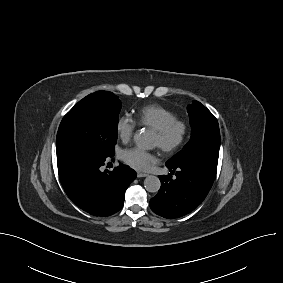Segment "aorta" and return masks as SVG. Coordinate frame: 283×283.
I'll use <instances>...</instances> for the list:
<instances>
[{
  "label": "aorta",
  "instance_id": "aorta-1",
  "mask_svg": "<svg viewBox=\"0 0 283 283\" xmlns=\"http://www.w3.org/2000/svg\"><path fill=\"white\" fill-rule=\"evenodd\" d=\"M135 144L143 149L152 147L151 135L146 131H138L134 135ZM144 187L148 192H158L161 187V182L157 176L150 175L144 180Z\"/></svg>",
  "mask_w": 283,
  "mask_h": 283
}]
</instances>
